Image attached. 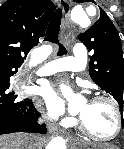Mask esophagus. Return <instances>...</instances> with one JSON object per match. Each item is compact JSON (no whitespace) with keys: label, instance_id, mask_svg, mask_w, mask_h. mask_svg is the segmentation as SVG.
Listing matches in <instances>:
<instances>
[{"label":"esophagus","instance_id":"34e87169","mask_svg":"<svg viewBox=\"0 0 124 149\" xmlns=\"http://www.w3.org/2000/svg\"><path fill=\"white\" fill-rule=\"evenodd\" d=\"M58 4L63 10V23H62V29H61V37L64 41V44L68 45V44H71L75 39V34L71 30L72 24L69 20L70 3L67 0H59ZM48 127L51 133H56L58 131V127L54 123H49Z\"/></svg>","mask_w":124,"mask_h":149}]
</instances>
